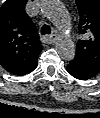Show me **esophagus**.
Listing matches in <instances>:
<instances>
[{"label": "esophagus", "mask_w": 100, "mask_h": 118, "mask_svg": "<svg viewBox=\"0 0 100 118\" xmlns=\"http://www.w3.org/2000/svg\"><path fill=\"white\" fill-rule=\"evenodd\" d=\"M57 39V34L53 33L51 36H44L43 41L47 44H52L56 41Z\"/></svg>", "instance_id": "esophagus-1"}]
</instances>
